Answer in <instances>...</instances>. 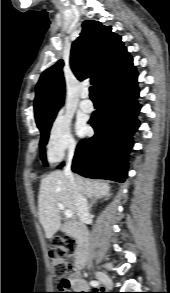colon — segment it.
<instances>
[{"instance_id": "obj_1", "label": "colon", "mask_w": 170, "mask_h": 293, "mask_svg": "<svg viewBox=\"0 0 170 293\" xmlns=\"http://www.w3.org/2000/svg\"><path fill=\"white\" fill-rule=\"evenodd\" d=\"M49 244L54 248L51 263L54 276L59 280L58 292L54 293H67L73 287V281L68 278L67 274L71 267L69 258L76 252V240L72 237L55 238L50 240Z\"/></svg>"}]
</instances>
